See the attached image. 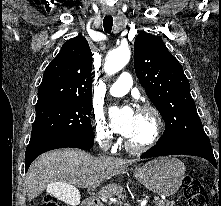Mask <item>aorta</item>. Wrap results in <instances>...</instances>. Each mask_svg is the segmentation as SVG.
I'll list each match as a JSON object with an SVG mask.
<instances>
[{
    "instance_id": "aorta-1",
    "label": "aorta",
    "mask_w": 221,
    "mask_h": 206,
    "mask_svg": "<svg viewBox=\"0 0 221 206\" xmlns=\"http://www.w3.org/2000/svg\"><path fill=\"white\" fill-rule=\"evenodd\" d=\"M131 51L126 45H122L108 53L106 56L104 71L113 75L120 71L130 60Z\"/></svg>"
}]
</instances>
